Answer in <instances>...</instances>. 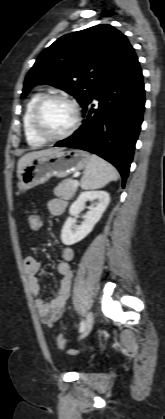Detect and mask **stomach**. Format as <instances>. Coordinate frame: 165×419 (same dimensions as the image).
Listing matches in <instances>:
<instances>
[{
    "instance_id": "stomach-1",
    "label": "stomach",
    "mask_w": 165,
    "mask_h": 419,
    "mask_svg": "<svg viewBox=\"0 0 165 419\" xmlns=\"http://www.w3.org/2000/svg\"><path fill=\"white\" fill-rule=\"evenodd\" d=\"M89 159V153L78 149L60 150L33 158L18 176V189L20 192H25L39 184H44L51 177H66L86 168Z\"/></svg>"
}]
</instances>
